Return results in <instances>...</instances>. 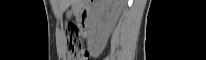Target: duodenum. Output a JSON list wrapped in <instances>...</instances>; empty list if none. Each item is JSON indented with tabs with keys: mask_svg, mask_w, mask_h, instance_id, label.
Segmentation results:
<instances>
[{
	"mask_svg": "<svg viewBox=\"0 0 206 60\" xmlns=\"http://www.w3.org/2000/svg\"><path fill=\"white\" fill-rule=\"evenodd\" d=\"M90 11H91V7H90L89 3L84 2L80 5V7H79V20L81 22V24H80L81 28L85 27V23L88 19Z\"/></svg>",
	"mask_w": 206,
	"mask_h": 60,
	"instance_id": "obj_1",
	"label": "duodenum"
}]
</instances>
